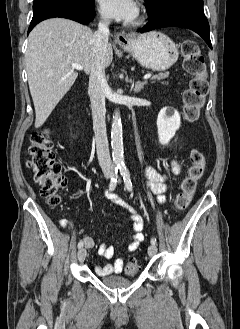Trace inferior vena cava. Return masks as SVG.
I'll return each mask as SVG.
<instances>
[{
  "label": "inferior vena cava",
  "instance_id": "obj_1",
  "mask_svg": "<svg viewBox=\"0 0 240 329\" xmlns=\"http://www.w3.org/2000/svg\"><path fill=\"white\" fill-rule=\"evenodd\" d=\"M109 25L110 21L102 18L99 21L98 30L93 34L92 63L88 87L97 156L99 165L105 175H111L114 171L109 153L105 123V93L108 88L105 77V51L110 34Z\"/></svg>",
  "mask_w": 240,
  "mask_h": 329
}]
</instances>
